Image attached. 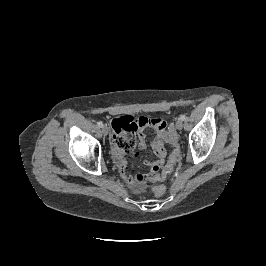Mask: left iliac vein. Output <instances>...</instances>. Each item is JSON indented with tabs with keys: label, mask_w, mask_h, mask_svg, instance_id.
Instances as JSON below:
<instances>
[{
	"label": "left iliac vein",
	"mask_w": 266,
	"mask_h": 266,
	"mask_svg": "<svg viewBox=\"0 0 266 266\" xmlns=\"http://www.w3.org/2000/svg\"><path fill=\"white\" fill-rule=\"evenodd\" d=\"M176 128L178 130H181L183 128V121L181 119H178L176 122Z\"/></svg>",
	"instance_id": "left-iliac-vein-1"
}]
</instances>
